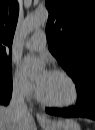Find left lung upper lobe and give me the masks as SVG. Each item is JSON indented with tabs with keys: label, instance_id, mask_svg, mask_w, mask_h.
I'll list each match as a JSON object with an SVG mask.
<instances>
[{
	"label": "left lung upper lobe",
	"instance_id": "left-lung-upper-lobe-1",
	"mask_svg": "<svg viewBox=\"0 0 95 130\" xmlns=\"http://www.w3.org/2000/svg\"><path fill=\"white\" fill-rule=\"evenodd\" d=\"M46 7L49 49L78 92L95 80V1L46 0Z\"/></svg>",
	"mask_w": 95,
	"mask_h": 130
}]
</instances>
